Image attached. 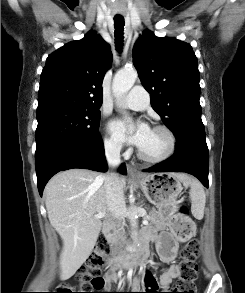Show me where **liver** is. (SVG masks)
Here are the masks:
<instances>
[{"mask_svg":"<svg viewBox=\"0 0 245 293\" xmlns=\"http://www.w3.org/2000/svg\"><path fill=\"white\" fill-rule=\"evenodd\" d=\"M185 185L189 178L175 174ZM105 176L85 169H69L55 175L45 187V205L52 227L63 241L60 279L71 278L90 256L102 222L95 215L112 214L106 200ZM120 186L126 185L124 177Z\"/></svg>","mask_w":245,"mask_h":293,"instance_id":"obj_1","label":"liver"}]
</instances>
